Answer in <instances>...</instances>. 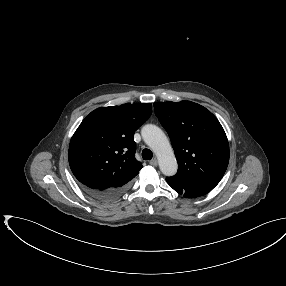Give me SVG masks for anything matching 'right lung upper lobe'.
Here are the masks:
<instances>
[{
  "label": "right lung upper lobe",
  "mask_w": 286,
  "mask_h": 286,
  "mask_svg": "<svg viewBox=\"0 0 286 286\" xmlns=\"http://www.w3.org/2000/svg\"><path fill=\"white\" fill-rule=\"evenodd\" d=\"M152 113L150 103L97 108L75 131L70 168L81 185L99 190L127 187L142 168L135 159V131Z\"/></svg>",
  "instance_id": "cb5924a9"
}]
</instances>
